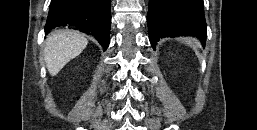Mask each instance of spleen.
I'll use <instances>...</instances> for the list:
<instances>
[{"mask_svg":"<svg viewBox=\"0 0 257 130\" xmlns=\"http://www.w3.org/2000/svg\"><path fill=\"white\" fill-rule=\"evenodd\" d=\"M185 42H186L187 44H191V40H190V39H186ZM195 44H198L196 40H195Z\"/></svg>","mask_w":257,"mask_h":130,"instance_id":"spleen-1","label":"spleen"}]
</instances>
